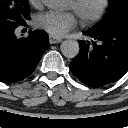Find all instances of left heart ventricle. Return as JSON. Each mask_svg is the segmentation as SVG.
I'll return each mask as SVG.
<instances>
[{"label": "left heart ventricle", "mask_w": 128, "mask_h": 128, "mask_svg": "<svg viewBox=\"0 0 128 128\" xmlns=\"http://www.w3.org/2000/svg\"><path fill=\"white\" fill-rule=\"evenodd\" d=\"M98 5H99V0H86L80 9V13L84 15L92 14L97 9ZM70 8L73 9L71 3H70ZM75 13L77 14V12Z\"/></svg>", "instance_id": "left-heart-ventricle-1"}]
</instances>
